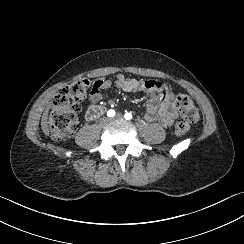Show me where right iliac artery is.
Wrapping results in <instances>:
<instances>
[{"label":"right iliac artery","mask_w":244,"mask_h":244,"mask_svg":"<svg viewBox=\"0 0 244 244\" xmlns=\"http://www.w3.org/2000/svg\"><path fill=\"white\" fill-rule=\"evenodd\" d=\"M107 116L108 117H114L115 116V111L114 110H109L108 112H107Z\"/></svg>","instance_id":"obj_1"}]
</instances>
